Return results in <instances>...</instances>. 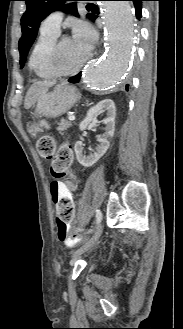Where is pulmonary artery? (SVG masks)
<instances>
[{
    "instance_id": "e3ab8cb5",
    "label": "pulmonary artery",
    "mask_w": 183,
    "mask_h": 329,
    "mask_svg": "<svg viewBox=\"0 0 183 329\" xmlns=\"http://www.w3.org/2000/svg\"><path fill=\"white\" fill-rule=\"evenodd\" d=\"M62 19L63 13L61 11L52 12L42 22L40 31L59 34Z\"/></svg>"
}]
</instances>
